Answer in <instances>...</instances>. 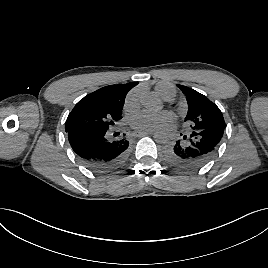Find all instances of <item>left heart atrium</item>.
I'll return each mask as SVG.
<instances>
[{
	"mask_svg": "<svg viewBox=\"0 0 268 268\" xmlns=\"http://www.w3.org/2000/svg\"><path fill=\"white\" fill-rule=\"evenodd\" d=\"M147 114L145 112H141L132 117L131 123L134 127H140L142 123L147 121ZM158 121L163 124H170L174 121V116L170 112H164L156 118Z\"/></svg>",
	"mask_w": 268,
	"mask_h": 268,
	"instance_id": "obj_1",
	"label": "left heart atrium"
}]
</instances>
